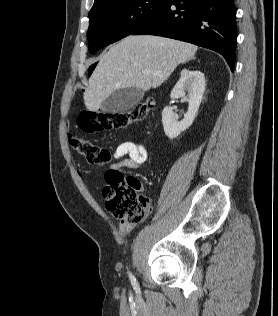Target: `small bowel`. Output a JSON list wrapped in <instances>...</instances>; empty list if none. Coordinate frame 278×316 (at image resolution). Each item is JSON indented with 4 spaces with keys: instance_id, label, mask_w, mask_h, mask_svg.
Returning a JSON list of instances; mask_svg holds the SVG:
<instances>
[{
    "instance_id": "c3829d8e",
    "label": "small bowel",
    "mask_w": 278,
    "mask_h": 316,
    "mask_svg": "<svg viewBox=\"0 0 278 316\" xmlns=\"http://www.w3.org/2000/svg\"><path fill=\"white\" fill-rule=\"evenodd\" d=\"M112 158L117 162L110 166V170H119L121 168L136 169L143 166L148 160V151L144 143L126 141L119 144ZM133 229V225L121 221L119 223V232L127 236Z\"/></svg>"
}]
</instances>
